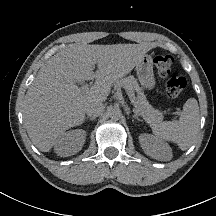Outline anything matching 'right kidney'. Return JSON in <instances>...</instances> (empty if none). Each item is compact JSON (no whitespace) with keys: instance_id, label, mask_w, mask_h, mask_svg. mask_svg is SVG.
Masks as SVG:
<instances>
[{"instance_id":"1","label":"right kidney","mask_w":216,"mask_h":216,"mask_svg":"<svg viewBox=\"0 0 216 216\" xmlns=\"http://www.w3.org/2000/svg\"><path fill=\"white\" fill-rule=\"evenodd\" d=\"M85 138L86 132L82 129L64 132L55 142V152L61 157L74 155L82 149Z\"/></svg>"}]
</instances>
